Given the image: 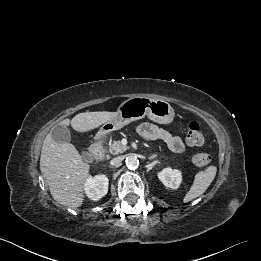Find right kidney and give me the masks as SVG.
Returning <instances> with one entry per match:
<instances>
[{"label":"right kidney","mask_w":261,"mask_h":261,"mask_svg":"<svg viewBox=\"0 0 261 261\" xmlns=\"http://www.w3.org/2000/svg\"><path fill=\"white\" fill-rule=\"evenodd\" d=\"M109 180L105 175L88 177L84 183V190L90 200L98 201L108 192Z\"/></svg>","instance_id":"right-kidney-1"}]
</instances>
